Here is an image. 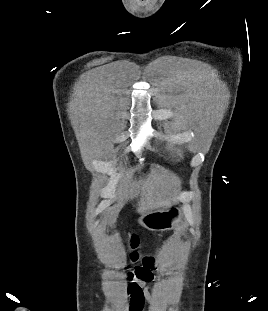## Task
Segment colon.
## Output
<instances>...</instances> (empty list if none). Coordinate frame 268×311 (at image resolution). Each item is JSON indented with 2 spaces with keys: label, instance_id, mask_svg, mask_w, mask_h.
I'll list each match as a JSON object with an SVG mask.
<instances>
[{
  "label": "colon",
  "instance_id": "1",
  "mask_svg": "<svg viewBox=\"0 0 268 311\" xmlns=\"http://www.w3.org/2000/svg\"><path fill=\"white\" fill-rule=\"evenodd\" d=\"M138 246V239L136 236H132L130 239L131 252L129 258L133 263H138L133 271L130 272L131 278H138L140 280L150 281L153 277L152 271L155 265V259L153 256L144 255L141 256L135 248Z\"/></svg>",
  "mask_w": 268,
  "mask_h": 311
}]
</instances>
